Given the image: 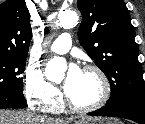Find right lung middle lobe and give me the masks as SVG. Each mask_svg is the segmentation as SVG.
Listing matches in <instances>:
<instances>
[{
    "label": "right lung middle lobe",
    "instance_id": "right-lung-middle-lobe-1",
    "mask_svg": "<svg viewBox=\"0 0 145 124\" xmlns=\"http://www.w3.org/2000/svg\"><path fill=\"white\" fill-rule=\"evenodd\" d=\"M26 57L0 55V91H23Z\"/></svg>",
    "mask_w": 145,
    "mask_h": 124
}]
</instances>
